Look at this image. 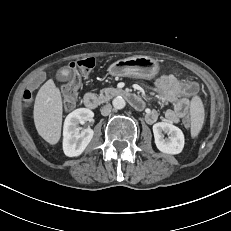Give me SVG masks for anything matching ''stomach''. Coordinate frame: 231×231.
I'll list each match as a JSON object with an SVG mask.
<instances>
[{
  "label": "stomach",
  "instance_id": "obj_1",
  "mask_svg": "<svg viewBox=\"0 0 231 231\" xmlns=\"http://www.w3.org/2000/svg\"><path fill=\"white\" fill-rule=\"evenodd\" d=\"M159 71L157 60L148 56H134L120 59L110 65L108 72L116 77H134L150 80Z\"/></svg>",
  "mask_w": 231,
  "mask_h": 231
}]
</instances>
